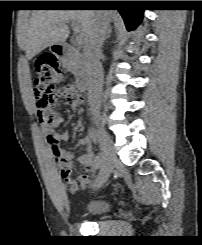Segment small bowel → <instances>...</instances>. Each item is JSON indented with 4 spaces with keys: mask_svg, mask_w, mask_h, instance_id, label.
<instances>
[{
    "mask_svg": "<svg viewBox=\"0 0 202 245\" xmlns=\"http://www.w3.org/2000/svg\"><path fill=\"white\" fill-rule=\"evenodd\" d=\"M79 101L80 105H82L85 101L84 96L80 95ZM62 122V115L59 112H54L53 121L51 124H44V133L48 143L53 137H56L60 142L69 141L70 135L68 132L57 134L52 130L54 127L59 126ZM82 142L88 147L87 152L84 155L77 156L75 153L76 148L70 150L61 149L59 154H54L55 165L59 169L60 175L65 182V186L70 193H76L86 188L97 174V165L91 150V140L88 136H85ZM74 159H77V161H79L85 167V173L76 178H72L71 176Z\"/></svg>",
    "mask_w": 202,
    "mask_h": 245,
    "instance_id": "c3829d8e",
    "label": "small bowel"
}]
</instances>
